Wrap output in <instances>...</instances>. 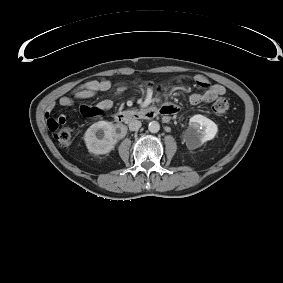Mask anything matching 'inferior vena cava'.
<instances>
[{
    "label": "inferior vena cava",
    "instance_id": "1",
    "mask_svg": "<svg viewBox=\"0 0 283 283\" xmlns=\"http://www.w3.org/2000/svg\"><path fill=\"white\" fill-rule=\"evenodd\" d=\"M142 123L139 120H133L129 123V130L130 131H137L140 129Z\"/></svg>",
    "mask_w": 283,
    "mask_h": 283
}]
</instances>
